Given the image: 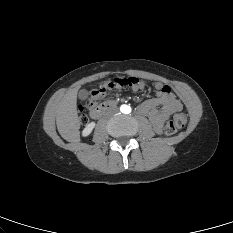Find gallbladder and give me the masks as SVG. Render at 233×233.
Instances as JSON below:
<instances>
[{"mask_svg":"<svg viewBox=\"0 0 233 233\" xmlns=\"http://www.w3.org/2000/svg\"><path fill=\"white\" fill-rule=\"evenodd\" d=\"M78 97L80 100H85L88 97L87 91L85 89L80 90Z\"/></svg>","mask_w":233,"mask_h":233,"instance_id":"obj_1","label":"gallbladder"}]
</instances>
